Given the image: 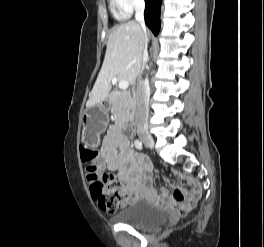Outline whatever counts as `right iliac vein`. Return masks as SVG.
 Instances as JSON below:
<instances>
[{
    "label": "right iliac vein",
    "instance_id": "1",
    "mask_svg": "<svg viewBox=\"0 0 264 247\" xmlns=\"http://www.w3.org/2000/svg\"><path fill=\"white\" fill-rule=\"evenodd\" d=\"M138 135L141 139V141L149 148H153L154 147V140L153 137L151 136V134L146 131V130H140L138 132Z\"/></svg>",
    "mask_w": 264,
    "mask_h": 247
}]
</instances>
